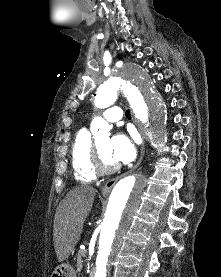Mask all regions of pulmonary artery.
Returning a JSON list of instances; mask_svg holds the SVG:
<instances>
[{
	"label": "pulmonary artery",
	"mask_w": 221,
	"mask_h": 277,
	"mask_svg": "<svg viewBox=\"0 0 221 277\" xmlns=\"http://www.w3.org/2000/svg\"><path fill=\"white\" fill-rule=\"evenodd\" d=\"M102 115L109 122H118L123 117L121 108L117 106L106 109Z\"/></svg>",
	"instance_id": "e3ab8cb5"
}]
</instances>
